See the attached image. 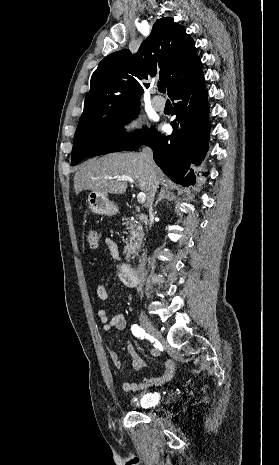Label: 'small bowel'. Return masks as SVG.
<instances>
[{"instance_id":"obj_1","label":"small bowel","mask_w":279,"mask_h":465,"mask_svg":"<svg viewBox=\"0 0 279 465\" xmlns=\"http://www.w3.org/2000/svg\"><path fill=\"white\" fill-rule=\"evenodd\" d=\"M105 245L110 255L112 256V258L117 261H120L121 257H120L117 243L111 238H106ZM122 268L123 266H121V269L119 271L120 279H121ZM96 293H97L98 298L103 301L107 300L109 297L107 287L102 284L98 285L96 289ZM98 315L103 324L102 328L104 331H110L112 329L123 330L126 328L127 322H126L125 315L122 312H118L110 317L107 310L101 309L99 310ZM127 350L132 359V363L135 369L139 370V369L146 367V361L138 354L134 345L129 341L127 342ZM150 355L151 357L155 358L160 355V352L158 349L153 348L150 352ZM109 357H110V360L113 366L116 369H120L122 367V362L116 351L109 350ZM174 371H175L174 362L170 359H166L164 363L163 372L161 375H159L158 377L144 378L143 381L140 383L124 381L122 383V389L125 392H133V391L144 390L152 386L162 385L168 382L172 378Z\"/></svg>"}]
</instances>
